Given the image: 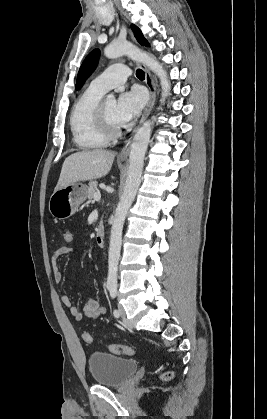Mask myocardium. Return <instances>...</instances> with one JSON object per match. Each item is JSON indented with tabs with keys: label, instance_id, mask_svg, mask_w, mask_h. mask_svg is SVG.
<instances>
[{
	"label": "myocardium",
	"instance_id": "f54148a6",
	"mask_svg": "<svg viewBox=\"0 0 267 419\" xmlns=\"http://www.w3.org/2000/svg\"><path fill=\"white\" fill-rule=\"evenodd\" d=\"M96 121L100 132L108 140L115 139L121 135L122 129L120 127H113L108 122L103 102H100L97 107Z\"/></svg>",
	"mask_w": 267,
	"mask_h": 419
}]
</instances>
